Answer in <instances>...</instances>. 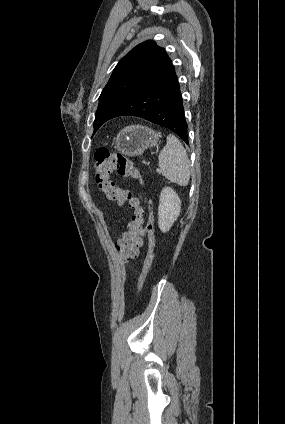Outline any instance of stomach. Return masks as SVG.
Listing matches in <instances>:
<instances>
[{
	"label": "stomach",
	"instance_id": "stomach-1",
	"mask_svg": "<svg viewBox=\"0 0 285 424\" xmlns=\"http://www.w3.org/2000/svg\"><path fill=\"white\" fill-rule=\"evenodd\" d=\"M160 137V133L148 127L127 126L117 135L115 148L124 155L137 156L147 148L157 146Z\"/></svg>",
	"mask_w": 285,
	"mask_h": 424
}]
</instances>
